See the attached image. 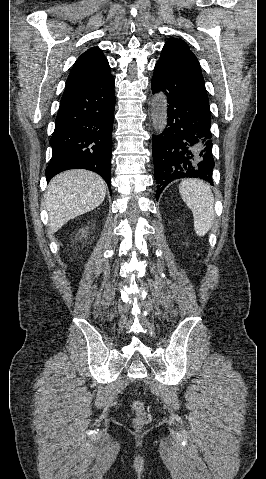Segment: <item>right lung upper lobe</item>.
Listing matches in <instances>:
<instances>
[{
    "label": "right lung upper lobe",
    "mask_w": 266,
    "mask_h": 479,
    "mask_svg": "<svg viewBox=\"0 0 266 479\" xmlns=\"http://www.w3.org/2000/svg\"><path fill=\"white\" fill-rule=\"evenodd\" d=\"M110 74V67L102 50L98 47H92L76 60L67 78L66 85L97 81Z\"/></svg>",
    "instance_id": "cb5924a9"
}]
</instances>
